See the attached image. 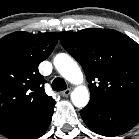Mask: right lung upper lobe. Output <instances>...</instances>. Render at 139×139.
<instances>
[{
    "label": "right lung upper lobe",
    "instance_id": "obj_1",
    "mask_svg": "<svg viewBox=\"0 0 139 139\" xmlns=\"http://www.w3.org/2000/svg\"><path fill=\"white\" fill-rule=\"evenodd\" d=\"M58 41L55 32H14L0 39V134L24 123L55 100L44 91L38 65Z\"/></svg>",
    "mask_w": 139,
    "mask_h": 139
}]
</instances>
